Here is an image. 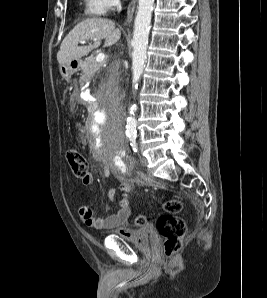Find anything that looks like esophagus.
Returning <instances> with one entry per match:
<instances>
[{
  "instance_id": "34e87169",
  "label": "esophagus",
  "mask_w": 267,
  "mask_h": 298,
  "mask_svg": "<svg viewBox=\"0 0 267 298\" xmlns=\"http://www.w3.org/2000/svg\"><path fill=\"white\" fill-rule=\"evenodd\" d=\"M136 3H137V0H132L131 3L129 4L128 9H127L126 19L124 22L125 24H129L132 21L134 11L136 8Z\"/></svg>"
}]
</instances>
